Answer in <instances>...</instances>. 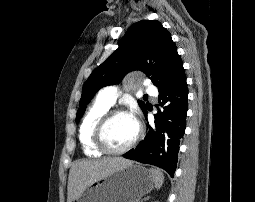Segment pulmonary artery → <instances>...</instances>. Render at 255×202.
<instances>
[{"mask_svg": "<svg viewBox=\"0 0 255 202\" xmlns=\"http://www.w3.org/2000/svg\"><path fill=\"white\" fill-rule=\"evenodd\" d=\"M143 85H144V91L146 93L154 94L156 92L155 87L151 85L149 81H144ZM118 95H119V90L116 86H107L99 92L98 98L111 106L115 103Z\"/></svg>", "mask_w": 255, "mask_h": 202, "instance_id": "1", "label": "pulmonary artery"}]
</instances>
